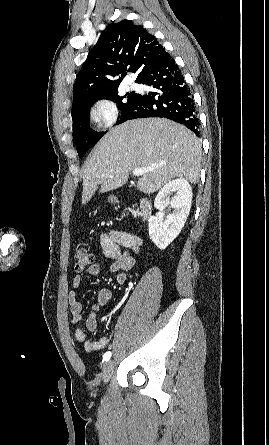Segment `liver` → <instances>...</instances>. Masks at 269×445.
<instances>
[{"label":"liver","mask_w":269,"mask_h":445,"mask_svg":"<svg viewBox=\"0 0 269 445\" xmlns=\"http://www.w3.org/2000/svg\"><path fill=\"white\" fill-rule=\"evenodd\" d=\"M201 143L187 128L164 118L127 121L111 129L97 143L83 169L82 204L100 192L126 184L131 170L159 166L144 173L139 191L150 194L175 177L196 184L199 180Z\"/></svg>","instance_id":"6515ba94"}]
</instances>
